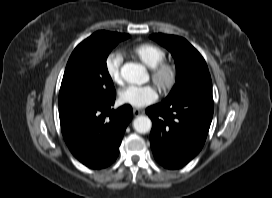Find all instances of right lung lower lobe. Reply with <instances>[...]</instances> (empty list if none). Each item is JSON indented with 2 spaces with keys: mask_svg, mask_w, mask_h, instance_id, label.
Segmentation results:
<instances>
[{
  "mask_svg": "<svg viewBox=\"0 0 272 198\" xmlns=\"http://www.w3.org/2000/svg\"><path fill=\"white\" fill-rule=\"evenodd\" d=\"M115 98L59 107L61 130L68 148L90 168H104L115 161L125 129L132 119L130 105L110 109Z\"/></svg>",
  "mask_w": 272,
  "mask_h": 198,
  "instance_id": "98d812e1",
  "label": "right lung lower lobe"
}]
</instances>
